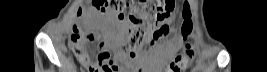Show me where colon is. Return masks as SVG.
Returning a JSON list of instances; mask_svg holds the SVG:
<instances>
[{"instance_id":"5ec220e1","label":"colon","mask_w":267,"mask_h":72,"mask_svg":"<svg viewBox=\"0 0 267 72\" xmlns=\"http://www.w3.org/2000/svg\"><path fill=\"white\" fill-rule=\"evenodd\" d=\"M94 7L103 13L111 12L117 15L120 25L129 34L126 49L130 54L139 52L146 44H155L169 35L167 18L173 10L171 0H93ZM193 24L190 14L184 12L182 34L186 37L192 30ZM81 65L88 66L92 72H116L119 70L118 62L106 51L96 55L90 52V40L85 30L74 26L70 33ZM194 58V49L187 45L184 52L173 61L170 72L185 70Z\"/></svg>"}]
</instances>
